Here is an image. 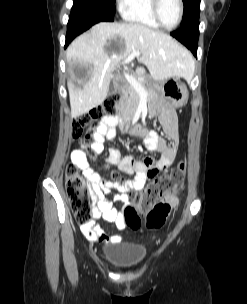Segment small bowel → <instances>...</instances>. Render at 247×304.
I'll return each mask as SVG.
<instances>
[{
    "label": "small bowel",
    "instance_id": "1",
    "mask_svg": "<svg viewBox=\"0 0 247 304\" xmlns=\"http://www.w3.org/2000/svg\"><path fill=\"white\" fill-rule=\"evenodd\" d=\"M152 112L159 114L160 124L167 138L158 136L155 132H146L140 126L133 127L131 131L144 137V143L149 151L159 155L156 163L151 158L137 160L134 157H121L118 149L111 148L107 161L116 165L120 171L129 178L117 184L114 188L112 200L106 195L111 192L113 186L106 178L92 169L86 159L84 145L72 151L70 158L72 164L81 170L83 176L90 185L91 198L94 202L92 220L86 225H81L82 234L91 242L117 243L121 240L119 235H107L101 228L95 225V221L103 219L111 223L117 229L125 227L124 213L117 209L113 203H127L129 193L141 191L147 181L158 172L166 171L173 164L179 146L178 120L175 111L168 105L156 100L152 104ZM119 116L105 118L92 135L89 145L94 153L100 154L104 150L105 140H112L117 136V126L120 125Z\"/></svg>",
    "mask_w": 247,
    "mask_h": 304
}]
</instances>
